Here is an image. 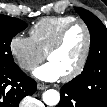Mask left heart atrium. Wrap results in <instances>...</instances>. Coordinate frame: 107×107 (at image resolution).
Here are the masks:
<instances>
[{
	"instance_id": "39dd6f15",
	"label": "left heart atrium",
	"mask_w": 107,
	"mask_h": 107,
	"mask_svg": "<svg viewBox=\"0 0 107 107\" xmlns=\"http://www.w3.org/2000/svg\"><path fill=\"white\" fill-rule=\"evenodd\" d=\"M33 74L37 79L45 82H54L62 77L59 68L51 61L36 68Z\"/></svg>"
}]
</instances>
